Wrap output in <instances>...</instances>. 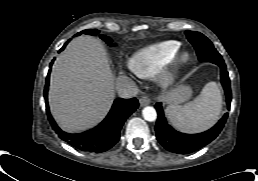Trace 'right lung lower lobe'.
<instances>
[{
    "label": "right lung lower lobe",
    "mask_w": 258,
    "mask_h": 181,
    "mask_svg": "<svg viewBox=\"0 0 258 181\" xmlns=\"http://www.w3.org/2000/svg\"><path fill=\"white\" fill-rule=\"evenodd\" d=\"M68 42L60 49L62 51ZM54 60L50 63L52 66ZM50 72L46 78L44 98L48 119L59 137L71 146L81 151L101 153L112 148L120 138V130L125 120L138 108V100L118 98L114 101L112 109L107 117L95 128L80 134H69L63 132L53 120L48 107V86Z\"/></svg>",
    "instance_id": "98d812e1"
}]
</instances>
